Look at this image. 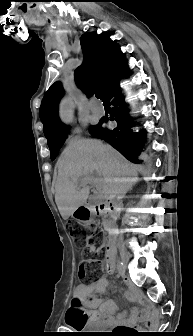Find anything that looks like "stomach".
Segmentation results:
<instances>
[{
    "label": "stomach",
    "mask_w": 193,
    "mask_h": 336,
    "mask_svg": "<svg viewBox=\"0 0 193 336\" xmlns=\"http://www.w3.org/2000/svg\"><path fill=\"white\" fill-rule=\"evenodd\" d=\"M72 217L83 224L90 223L94 218V212L89 206H80L73 213Z\"/></svg>",
    "instance_id": "stomach-1"
}]
</instances>
